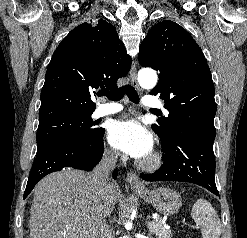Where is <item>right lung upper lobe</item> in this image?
I'll return each instance as SVG.
<instances>
[{
    "label": "right lung upper lobe",
    "mask_w": 247,
    "mask_h": 238,
    "mask_svg": "<svg viewBox=\"0 0 247 238\" xmlns=\"http://www.w3.org/2000/svg\"><path fill=\"white\" fill-rule=\"evenodd\" d=\"M130 66L131 57L110 23L99 19L79 25L52 55L41 91L39 122L93 113V89H116Z\"/></svg>",
    "instance_id": "cb5924a9"
}]
</instances>
